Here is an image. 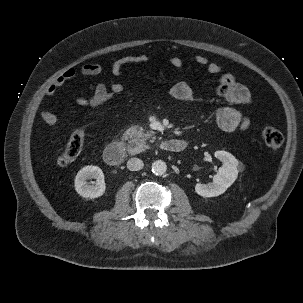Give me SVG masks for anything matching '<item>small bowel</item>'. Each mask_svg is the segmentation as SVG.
Masks as SVG:
<instances>
[{"label":"small bowel","instance_id":"small-bowel-1","mask_svg":"<svg viewBox=\"0 0 303 303\" xmlns=\"http://www.w3.org/2000/svg\"><path fill=\"white\" fill-rule=\"evenodd\" d=\"M150 61V57L146 54L129 55L118 58L111 65V73L119 77L123 69L128 65L143 64ZM196 64L201 67L208 74H219L223 71L222 66L218 63L210 61L203 55L195 57ZM171 66L181 77L185 72L184 61L179 57H172L170 59ZM103 71L101 65L96 63H88L81 67V73L85 76H95ZM76 75L74 69H68L57 77L54 82L49 85L44 91L45 97H52L55 93L64 86L67 82L72 80ZM124 85L120 82H113L109 86L104 83L96 84L93 94L89 98L76 97L77 104L88 106L93 99L100 98L105 93L120 94L124 91ZM217 94L229 104L248 105L251 103V93L249 89L236 81L231 73H223L216 87ZM170 95L181 102H193L198 100L193 87L184 79L179 78L170 88ZM39 114L41 119L48 125H55L57 122L56 116L46 108H40ZM214 119L217 126L226 132H233L236 130L245 131L250 127V120L243 115L239 110L233 107H221L215 111Z\"/></svg>","mask_w":303,"mask_h":303}]
</instances>
